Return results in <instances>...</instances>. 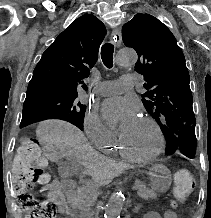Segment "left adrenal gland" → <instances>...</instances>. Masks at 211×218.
Returning <instances> with one entry per match:
<instances>
[{"label":"left adrenal gland","instance_id":"1","mask_svg":"<svg viewBox=\"0 0 211 218\" xmlns=\"http://www.w3.org/2000/svg\"><path fill=\"white\" fill-rule=\"evenodd\" d=\"M140 208H142L141 204H137V206H135V208H134L135 212H138V210H140Z\"/></svg>","mask_w":211,"mask_h":218}]
</instances>
